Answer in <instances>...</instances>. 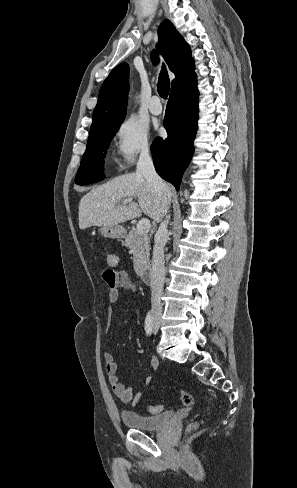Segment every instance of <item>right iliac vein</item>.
Listing matches in <instances>:
<instances>
[{
  "label": "right iliac vein",
  "mask_w": 297,
  "mask_h": 488,
  "mask_svg": "<svg viewBox=\"0 0 297 488\" xmlns=\"http://www.w3.org/2000/svg\"><path fill=\"white\" fill-rule=\"evenodd\" d=\"M156 325L159 327V323L158 322H156Z\"/></svg>",
  "instance_id": "right-iliac-vein-1"
}]
</instances>
